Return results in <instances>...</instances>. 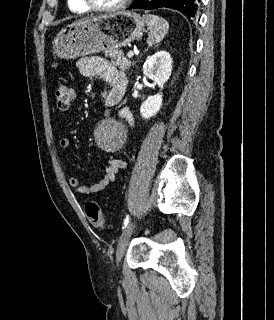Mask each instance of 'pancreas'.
I'll list each match as a JSON object with an SVG mask.
<instances>
[{
	"label": "pancreas",
	"instance_id": "cf45deb5",
	"mask_svg": "<svg viewBox=\"0 0 274 320\" xmlns=\"http://www.w3.org/2000/svg\"><path fill=\"white\" fill-rule=\"evenodd\" d=\"M104 54L106 58H111L113 66H117L122 72H127L132 64L130 58H125L124 52L117 50V48H109V50H105Z\"/></svg>",
	"mask_w": 274,
	"mask_h": 320
}]
</instances>
